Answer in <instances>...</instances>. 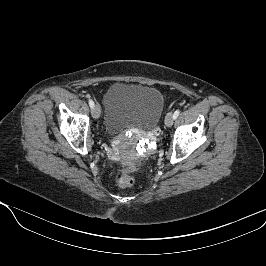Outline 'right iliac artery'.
Masks as SVG:
<instances>
[{"mask_svg":"<svg viewBox=\"0 0 266 266\" xmlns=\"http://www.w3.org/2000/svg\"><path fill=\"white\" fill-rule=\"evenodd\" d=\"M89 106L91 107V108H93L94 107V102H93V100H89Z\"/></svg>","mask_w":266,"mask_h":266,"instance_id":"obj_1","label":"right iliac artery"}]
</instances>
